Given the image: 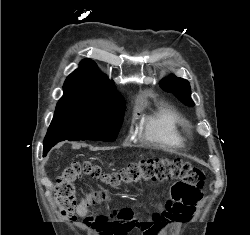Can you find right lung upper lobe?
Returning a JSON list of instances; mask_svg holds the SVG:
<instances>
[{
	"label": "right lung upper lobe",
	"mask_w": 250,
	"mask_h": 235,
	"mask_svg": "<svg viewBox=\"0 0 250 235\" xmlns=\"http://www.w3.org/2000/svg\"><path fill=\"white\" fill-rule=\"evenodd\" d=\"M61 99H109L120 96L114 82L104 77L94 61L85 59L71 73L63 86Z\"/></svg>",
	"instance_id": "right-lung-upper-lobe-1"
}]
</instances>
